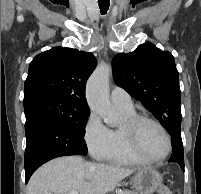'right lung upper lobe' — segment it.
Instances as JSON below:
<instances>
[{
	"mask_svg": "<svg viewBox=\"0 0 201 194\" xmlns=\"http://www.w3.org/2000/svg\"><path fill=\"white\" fill-rule=\"evenodd\" d=\"M95 66L92 53L77 49L55 47L38 54L29 65L23 104L37 98L55 97L89 110L85 85Z\"/></svg>",
	"mask_w": 201,
	"mask_h": 194,
	"instance_id": "obj_1",
	"label": "right lung upper lobe"
}]
</instances>
